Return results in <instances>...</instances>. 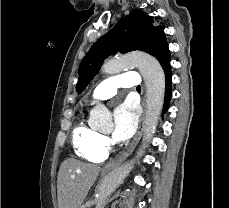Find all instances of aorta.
Returning a JSON list of instances; mask_svg holds the SVG:
<instances>
[{
	"label": "aorta",
	"instance_id": "aorta-1",
	"mask_svg": "<svg viewBox=\"0 0 229 208\" xmlns=\"http://www.w3.org/2000/svg\"><path fill=\"white\" fill-rule=\"evenodd\" d=\"M138 67L146 85V116L142 148L138 155L155 133L165 96V74L159 62L145 53H131L118 59L107 60L102 71L106 74H116L123 70ZM90 124L96 129H107L112 124L109 110L98 104L90 111ZM134 167V161L126 162L109 173L101 183L97 197L96 208H104L110 194L123 182Z\"/></svg>",
	"mask_w": 229,
	"mask_h": 208
}]
</instances>
